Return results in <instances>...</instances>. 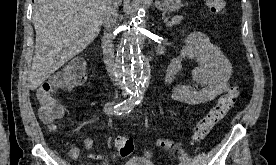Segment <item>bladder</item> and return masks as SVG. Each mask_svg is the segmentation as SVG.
Returning a JSON list of instances; mask_svg holds the SVG:
<instances>
[{"instance_id": "obj_1", "label": "bladder", "mask_w": 276, "mask_h": 165, "mask_svg": "<svg viewBox=\"0 0 276 165\" xmlns=\"http://www.w3.org/2000/svg\"><path fill=\"white\" fill-rule=\"evenodd\" d=\"M123 165H154L151 161L140 156H133L128 159Z\"/></svg>"}]
</instances>
